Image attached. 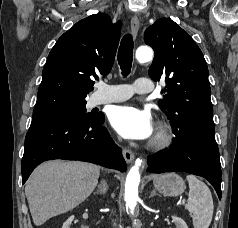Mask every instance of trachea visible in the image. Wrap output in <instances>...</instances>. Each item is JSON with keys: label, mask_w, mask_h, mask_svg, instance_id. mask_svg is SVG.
Here are the masks:
<instances>
[{"label": "trachea", "mask_w": 238, "mask_h": 228, "mask_svg": "<svg viewBox=\"0 0 238 228\" xmlns=\"http://www.w3.org/2000/svg\"><path fill=\"white\" fill-rule=\"evenodd\" d=\"M133 46L132 36L130 34L125 35L121 41L117 56L123 76L129 75L131 71Z\"/></svg>", "instance_id": "3493384b"}]
</instances>
